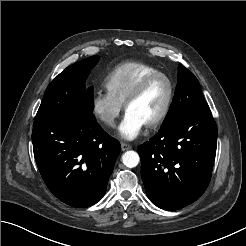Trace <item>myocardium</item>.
I'll list each match as a JSON object with an SVG mask.
<instances>
[{
	"label": "myocardium",
	"instance_id": "obj_1",
	"mask_svg": "<svg viewBox=\"0 0 246 246\" xmlns=\"http://www.w3.org/2000/svg\"><path fill=\"white\" fill-rule=\"evenodd\" d=\"M162 78L164 79L168 84V96L165 102V105L161 111V113L154 118L152 121L148 122L146 124L149 128H154L158 125H160L168 116L171 106L174 99L175 94V86L172 81V79L163 72H155L152 73L146 77H144L136 86L135 88L130 92V94L127 96L126 100L124 101V108L125 110L128 109L129 105L133 103L136 99H138L142 93L145 91V89L148 87V85L153 82L155 79Z\"/></svg>",
	"mask_w": 246,
	"mask_h": 246
}]
</instances>
